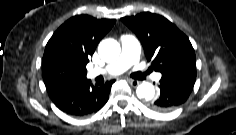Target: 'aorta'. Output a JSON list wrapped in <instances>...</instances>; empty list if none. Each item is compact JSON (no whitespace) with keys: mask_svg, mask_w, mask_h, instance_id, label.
Segmentation results:
<instances>
[{"mask_svg":"<svg viewBox=\"0 0 236 135\" xmlns=\"http://www.w3.org/2000/svg\"><path fill=\"white\" fill-rule=\"evenodd\" d=\"M121 52L120 44L114 39L102 40L98 46V53L105 62H114ZM138 98L152 100L155 95L154 86L149 82H142L136 89Z\"/></svg>","mask_w":236,"mask_h":135,"instance_id":"aorta-1","label":"aorta"}]
</instances>
